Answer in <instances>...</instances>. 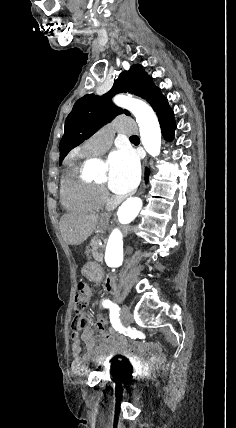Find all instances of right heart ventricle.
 <instances>
[{
  "label": "right heart ventricle",
  "instance_id": "1",
  "mask_svg": "<svg viewBox=\"0 0 236 428\" xmlns=\"http://www.w3.org/2000/svg\"><path fill=\"white\" fill-rule=\"evenodd\" d=\"M89 158L84 147L75 150L61 179V200L69 210L97 211L104 203L99 187L83 175V166Z\"/></svg>",
  "mask_w": 236,
  "mask_h": 428
}]
</instances>
